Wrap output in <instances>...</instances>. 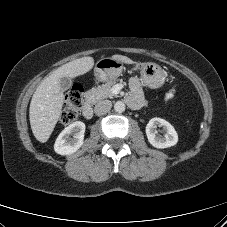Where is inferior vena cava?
<instances>
[{"label":"inferior vena cava","instance_id":"602c4592","mask_svg":"<svg viewBox=\"0 0 227 227\" xmlns=\"http://www.w3.org/2000/svg\"><path fill=\"white\" fill-rule=\"evenodd\" d=\"M112 107V102L109 100H103L98 102L94 107V112L96 115L101 116L110 111Z\"/></svg>","mask_w":227,"mask_h":227}]
</instances>
